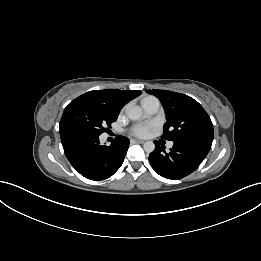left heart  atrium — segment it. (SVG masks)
<instances>
[{"label": "left heart atrium", "instance_id": "1", "mask_svg": "<svg viewBox=\"0 0 261 261\" xmlns=\"http://www.w3.org/2000/svg\"><path fill=\"white\" fill-rule=\"evenodd\" d=\"M150 130L149 125H138L133 128V134L136 136H146Z\"/></svg>", "mask_w": 261, "mask_h": 261}]
</instances>
